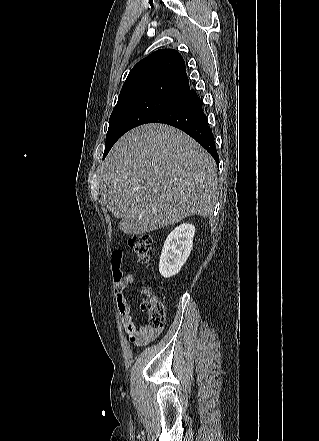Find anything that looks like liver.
Listing matches in <instances>:
<instances>
[{
    "label": "liver",
    "instance_id": "6515ba94",
    "mask_svg": "<svg viewBox=\"0 0 319 441\" xmlns=\"http://www.w3.org/2000/svg\"><path fill=\"white\" fill-rule=\"evenodd\" d=\"M217 165L183 131L149 123L124 134L101 170L102 201L126 234L139 235L211 216L218 200Z\"/></svg>",
    "mask_w": 319,
    "mask_h": 441
}]
</instances>
